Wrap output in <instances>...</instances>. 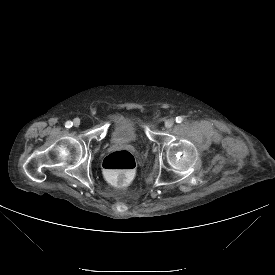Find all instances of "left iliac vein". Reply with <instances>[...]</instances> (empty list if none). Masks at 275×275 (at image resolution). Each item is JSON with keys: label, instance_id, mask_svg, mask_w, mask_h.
I'll return each instance as SVG.
<instances>
[{"label": "left iliac vein", "instance_id": "4c4485c4", "mask_svg": "<svg viewBox=\"0 0 275 275\" xmlns=\"http://www.w3.org/2000/svg\"><path fill=\"white\" fill-rule=\"evenodd\" d=\"M174 125V120L173 119H168L165 122V127L166 128H171Z\"/></svg>", "mask_w": 275, "mask_h": 275}]
</instances>
